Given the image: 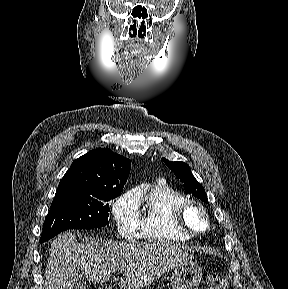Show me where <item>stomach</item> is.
Wrapping results in <instances>:
<instances>
[{"mask_svg": "<svg viewBox=\"0 0 288 289\" xmlns=\"http://www.w3.org/2000/svg\"><path fill=\"white\" fill-rule=\"evenodd\" d=\"M201 279V268L196 263L188 262L174 268L170 283L172 289H196Z\"/></svg>", "mask_w": 288, "mask_h": 289, "instance_id": "obj_1", "label": "stomach"}]
</instances>
